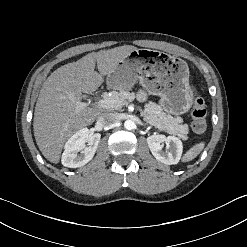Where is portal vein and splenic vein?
I'll return each mask as SVG.
<instances>
[{"instance_id": "obj_1", "label": "portal vein and splenic vein", "mask_w": 247, "mask_h": 247, "mask_svg": "<svg viewBox=\"0 0 247 247\" xmlns=\"http://www.w3.org/2000/svg\"><path fill=\"white\" fill-rule=\"evenodd\" d=\"M80 106H85L86 104L81 102L78 103ZM128 103H122L120 101L114 100V99H101L98 102L95 103V106L98 108H104V109H119L123 105Z\"/></svg>"}]
</instances>
